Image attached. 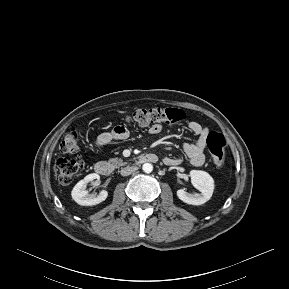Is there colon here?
I'll return each mask as SVG.
<instances>
[{
	"label": "colon",
	"instance_id": "obj_1",
	"mask_svg": "<svg viewBox=\"0 0 289 289\" xmlns=\"http://www.w3.org/2000/svg\"><path fill=\"white\" fill-rule=\"evenodd\" d=\"M185 118L183 110L178 108H150L138 109L125 118L127 123H134L140 126L165 123L174 125ZM227 141L223 134L217 131L209 132L207 136V147L211 154L213 164L222 167L224 164V151ZM60 150L65 154H73L79 150V136L76 132H70L62 140ZM83 168V161L80 158L60 159L57 163L58 180L62 185L70 184L80 170Z\"/></svg>",
	"mask_w": 289,
	"mask_h": 289
}]
</instances>
